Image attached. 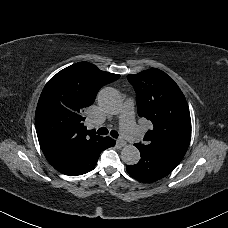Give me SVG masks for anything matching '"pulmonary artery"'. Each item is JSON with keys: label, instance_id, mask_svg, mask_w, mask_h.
I'll use <instances>...</instances> for the list:
<instances>
[{"label": "pulmonary artery", "instance_id": "1", "mask_svg": "<svg viewBox=\"0 0 228 228\" xmlns=\"http://www.w3.org/2000/svg\"><path fill=\"white\" fill-rule=\"evenodd\" d=\"M120 130L126 139H137L143 135V128L135 126V121L132 119V107L123 105L121 107Z\"/></svg>", "mask_w": 228, "mask_h": 228}]
</instances>
